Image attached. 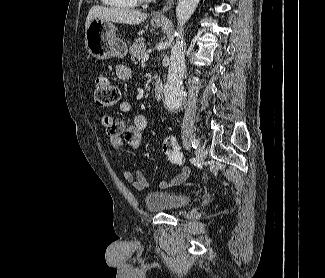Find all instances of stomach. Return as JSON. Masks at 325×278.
Segmentation results:
<instances>
[{
	"mask_svg": "<svg viewBox=\"0 0 325 278\" xmlns=\"http://www.w3.org/2000/svg\"><path fill=\"white\" fill-rule=\"evenodd\" d=\"M151 25L158 28L162 21L152 20ZM85 47L96 59L124 57L127 52V45L118 38L115 25L98 18L93 19L85 31Z\"/></svg>",
	"mask_w": 325,
	"mask_h": 278,
	"instance_id": "stomach-1",
	"label": "stomach"
}]
</instances>
